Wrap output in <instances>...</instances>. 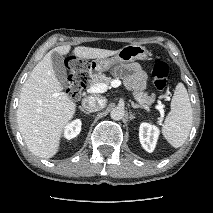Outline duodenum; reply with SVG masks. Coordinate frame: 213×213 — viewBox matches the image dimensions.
I'll return each instance as SVG.
<instances>
[{
	"label": "duodenum",
	"instance_id": "410a0bca",
	"mask_svg": "<svg viewBox=\"0 0 213 213\" xmlns=\"http://www.w3.org/2000/svg\"><path fill=\"white\" fill-rule=\"evenodd\" d=\"M89 81H90V78H89ZM89 81H88V84H89ZM88 84H87V86H88Z\"/></svg>",
	"mask_w": 213,
	"mask_h": 213
}]
</instances>
